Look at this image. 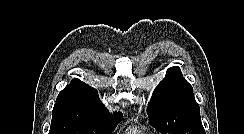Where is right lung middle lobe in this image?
Returning <instances> with one entry per match:
<instances>
[{"label": "right lung middle lobe", "mask_w": 244, "mask_h": 134, "mask_svg": "<svg viewBox=\"0 0 244 134\" xmlns=\"http://www.w3.org/2000/svg\"><path fill=\"white\" fill-rule=\"evenodd\" d=\"M122 115L110 118L84 119L52 116L49 134H110Z\"/></svg>", "instance_id": "dd1d6c3e"}]
</instances>
